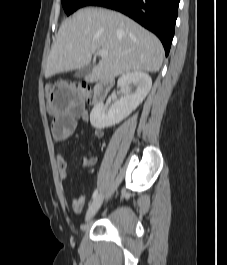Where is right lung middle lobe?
<instances>
[{"label":"right lung middle lobe","instance_id":"obj_1","mask_svg":"<svg viewBox=\"0 0 227 265\" xmlns=\"http://www.w3.org/2000/svg\"><path fill=\"white\" fill-rule=\"evenodd\" d=\"M67 15H70L78 8L89 5L93 0H61Z\"/></svg>","mask_w":227,"mask_h":265}]
</instances>
